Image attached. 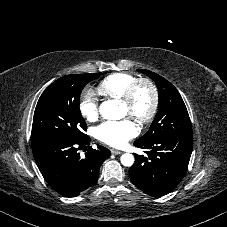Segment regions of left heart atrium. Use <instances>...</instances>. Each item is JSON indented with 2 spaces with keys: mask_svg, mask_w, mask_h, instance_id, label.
<instances>
[{
  "mask_svg": "<svg viewBox=\"0 0 227 227\" xmlns=\"http://www.w3.org/2000/svg\"><path fill=\"white\" fill-rule=\"evenodd\" d=\"M137 133V128L129 119L105 121L96 128V137L116 148L125 146Z\"/></svg>",
  "mask_w": 227,
  "mask_h": 227,
  "instance_id": "obj_1",
  "label": "left heart atrium"
}]
</instances>
